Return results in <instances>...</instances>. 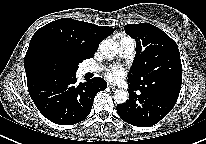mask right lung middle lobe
Listing matches in <instances>:
<instances>
[{"label": "right lung middle lobe", "instance_id": "dd1d6c3e", "mask_svg": "<svg viewBox=\"0 0 206 144\" xmlns=\"http://www.w3.org/2000/svg\"><path fill=\"white\" fill-rule=\"evenodd\" d=\"M84 59L52 49H41L31 55L27 66L33 75H73Z\"/></svg>", "mask_w": 206, "mask_h": 144}]
</instances>
